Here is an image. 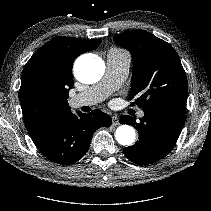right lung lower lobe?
Masks as SVG:
<instances>
[{"label": "right lung lower lobe", "mask_w": 211, "mask_h": 211, "mask_svg": "<svg viewBox=\"0 0 211 211\" xmlns=\"http://www.w3.org/2000/svg\"><path fill=\"white\" fill-rule=\"evenodd\" d=\"M111 123V117L100 110L89 114L78 112L77 115L69 111L32 140L47 159L68 165L85 155L98 128L109 127Z\"/></svg>", "instance_id": "1"}]
</instances>
